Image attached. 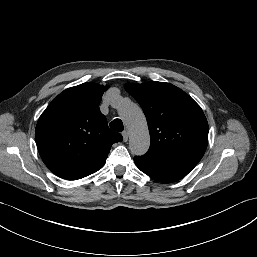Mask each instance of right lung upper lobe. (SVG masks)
Segmentation results:
<instances>
[{"label": "right lung upper lobe", "mask_w": 257, "mask_h": 257, "mask_svg": "<svg viewBox=\"0 0 257 257\" xmlns=\"http://www.w3.org/2000/svg\"><path fill=\"white\" fill-rule=\"evenodd\" d=\"M107 88L91 82L68 88L40 116L35 130L38 151L57 176L77 180L98 171L112 144L122 141L99 109Z\"/></svg>", "instance_id": "cb5924a9"}]
</instances>
